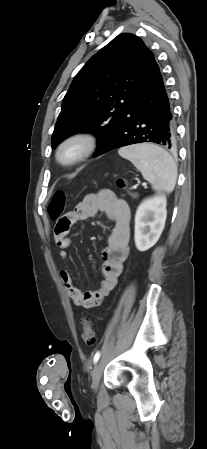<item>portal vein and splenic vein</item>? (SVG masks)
<instances>
[{
  "label": "portal vein and splenic vein",
  "mask_w": 207,
  "mask_h": 449,
  "mask_svg": "<svg viewBox=\"0 0 207 449\" xmlns=\"http://www.w3.org/2000/svg\"><path fill=\"white\" fill-rule=\"evenodd\" d=\"M142 185H143V186H146V183H143Z\"/></svg>",
  "instance_id": "18ae733b"
}]
</instances>
